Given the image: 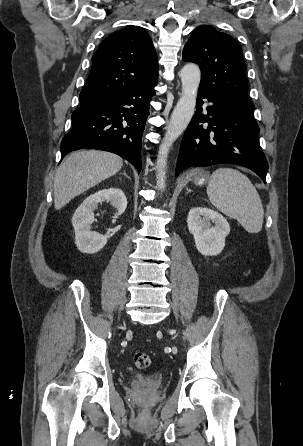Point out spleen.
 Here are the masks:
<instances>
[{
	"label": "spleen",
	"instance_id": "3e777b00",
	"mask_svg": "<svg viewBox=\"0 0 303 446\" xmlns=\"http://www.w3.org/2000/svg\"><path fill=\"white\" fill-rule=\"evenodd\" d=\"M207 195L218 210L236 219L246 231H261L264 218L262 202L246 175L229 167L218 168L210 177Z\"/></svg>",
	"mask_w": 303,
	"mask_h": 446
}]
</instances>
